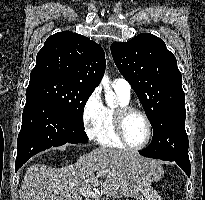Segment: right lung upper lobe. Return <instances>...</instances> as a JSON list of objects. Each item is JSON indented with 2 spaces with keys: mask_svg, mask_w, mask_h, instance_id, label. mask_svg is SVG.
Here are the masks:
<instances>
[{
  "mask_svg": "<svg viewBox=\"0 0 205 200\" xmlns=\"http://www.w3.org/2000/svg\"><path fill=\"white\" fill-rule=\"evenodd\" d=\"M105 66V53L100 45L80 34L63 31L45 41L30 79L57 76L95 89Z\"/></svg>",
  "mask_w": 205,
  "mask_h": 200,
  "instance_id": "1",
  "label": "right lung upper lobe"
}]
</instances>
